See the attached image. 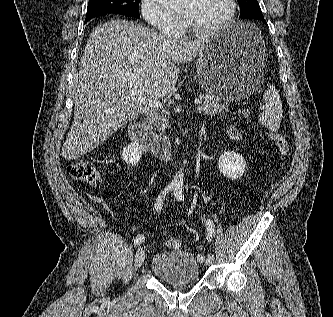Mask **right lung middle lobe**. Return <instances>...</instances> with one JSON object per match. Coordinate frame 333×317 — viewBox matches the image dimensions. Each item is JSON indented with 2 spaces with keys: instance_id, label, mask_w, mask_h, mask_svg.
Wrapping results in <instances>:
<instances>
[{
  "instance_id": "1",
  "label": "right lung middle lobe",
  "mask_w": 333,
  "mask_h": 317,
  "mask_svg": "<svg viewBox=\"0 0 333 317\" xmlns=\"http://www.w3.org/2000/svg\"><path fill=\"white\" fill-rule=\"evenodd\" d=\"M140 0H90L86 20L96 16L116 13L139 18Z\"/></svg>"
}]
</instances>
